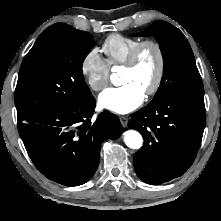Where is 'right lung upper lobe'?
<instances>
[{
  "mask_svg": "<svg viewBox=\"0 0 221 221\" xmlns=\"http://www.w3.org/2000/svg\"><path fill=\"white\" fill-rule=\"evenodd\" d=\"M79 32H80L79 30H76L75 28L67 24L57 23L45 29L40 36H44L47 34H55V33L77 34Z\"/></svg>",
  "mask_w": 221,
  "mask_h": 221,
  "instance_id": "obj_1",
  "label": "right lung upper lobe"
}]
</instances>
